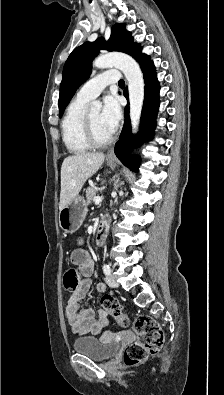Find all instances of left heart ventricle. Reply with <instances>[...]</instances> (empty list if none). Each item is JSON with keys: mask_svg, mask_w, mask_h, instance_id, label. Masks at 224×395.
Instances as JSON below:
<instances>
[{"mask_svg": "<svg viewBox=\"0 0 224 395\" xmlns=\"http://www.w3.org/2000/svg\"><path fill=\"white\" fill-rule=\"evenodd\" d=\"M92 127L94 129V132L96 136L104 140L108 138L112 133L103 125L100 117V111H92L88 113Z\"/></svg>", "mask_w": 224, "mask_h": 395, "instance_id": "left-heart-ventricle-1", "label": "left heart ventricle"}]
</instances>
